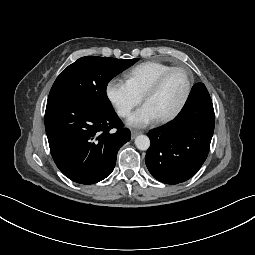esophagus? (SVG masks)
<instances>
[{"label":"esophagus","mask_w":255,"mask_h":255,"mask_svg":"<svg viewBox=\"0 0 255 255\" xmlns=\"http://www.w3.org/2000/svg\"><path fill=\"white\" fill-rule=\"evenodd\" d=\"M139 133H140L139 131L132 130L131 131L132 138H135Z\"/></svg>","instance_id":"1"}]
</instances>
